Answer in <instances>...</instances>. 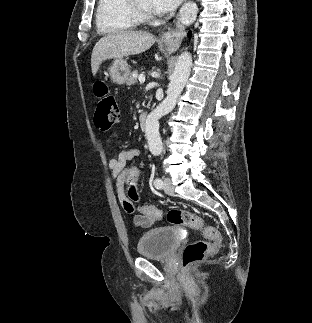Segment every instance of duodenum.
Segmentation results:
<instances>
[{
    "instance_id": "duodenum-1",
    "label": "duodenum",
    "mask_w": 312,
    "mask_h": 323,
    "mask_svg": "<svg viewBox=\"0 0 312 323\" xmlns=\"http://www.w3.org/2000/svg\"><path fill=\"white\" fill-rule=\"evenodd\" d=\"M146 121H147V116L146 113L142 112L138 115V124L139 127L142 131L146 130Z\"/></svg>"
}]
</instances>
